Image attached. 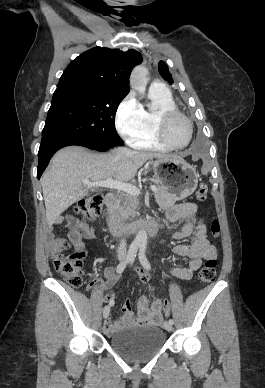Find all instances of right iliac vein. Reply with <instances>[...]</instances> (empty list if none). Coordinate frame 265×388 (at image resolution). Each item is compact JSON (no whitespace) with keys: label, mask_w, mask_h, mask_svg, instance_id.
I'll use <instances>...</instances> for the list:
<instances>
[{"label":"right iliac vein","mask_w":265,"mask_h":388,"mask_svg":"<svg viewBox=\"0 0 265 388\" xmlns=\"http://www.w3.org/2000/svg\"><path fill=\"white\" fill-rule=\"evenodd\" d=\"M120 259L123 260V257H120ZM109 313H110V307L105 306L103 308V317L106 319L109 316Z\"/></svg>","instance_id":"right-iliac-vein-1"}]
</instances>
